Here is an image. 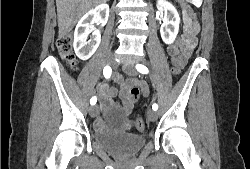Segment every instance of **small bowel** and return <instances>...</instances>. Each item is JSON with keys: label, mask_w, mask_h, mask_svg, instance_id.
<instances>
[{"label": "small bowel", "mask_w": 250, "mask_h": 169, "mask_svg": "<svg viewBox=\"0 0 250 169\" xmlns=\"http://www.w3.org/2000/svg\"><path fill=\"white\" fill-rule=\"evenodd\" d=\"M197 31L198 24L196 22H189L188 33L186 34L185 38L180 43L170 46L167 49V55L171 57L173 66L176 65L181 67V69L184 67L196 44V40L195 42H190L188 34H190L195 39ZM113 80L116 83L118 90L110 87L105 80L100 81L98 85L99 100L103 105L109 109H112L115 105L114 98L118 97L122 102L123 115L128 116L133 110V102L130 99L129 94L130 89L132 87H138L141 89L144 95H147L149 92L148 85L145 81L139 78H130L126 80L119 74L114 75ZM134 123V120H128L125 122L123 128L125 130H129ZM103 128V120L101 118L97 119L95 122V129L97 131H101Z\"/></svg>", "instance_id": "obj_1"}]
</instances>
